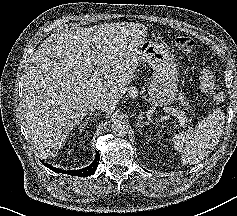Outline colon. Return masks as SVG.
I'll use <instances>...</instances> for the list:
<instances>
[{
	"instance_id": "5ec220e1",
	"label": "colon",
	"mask_w": 237,
	"mask_h": 216,
	"mask_svg": "<svg viewBox=\"0 0 237 216\" xmlns=\"http://www.w3.org/2000/svg\"><path fill=\"white\" fill-rule=\"evenodd\" d=\"M195 41L189 36H179L175 40L176 48L183 54H189L193 50ZM224 94L222 92H217L214 94L213 99L216 103H221L224 101Z\"/></svg>"
}]
</instances>
